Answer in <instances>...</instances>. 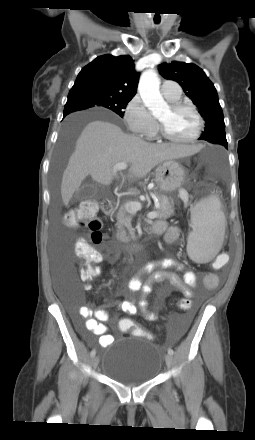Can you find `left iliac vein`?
Listing matches in <instances>:
<instances>
[{
	"instance_id": "1",
	"label": "left iliac vein",
	"mask_w": 255,
	"mask_h": 440,
	"mask_svg": "<svg viewBox=\"0 0 255 440\" xmlns=\"http://www.w3.org/2000/svg\"><path fill=\"white\" fill-rule=\"evenodd\" d=\"M165 362L168 368H171L173 366V356L170 354H167L165 356Z\"/></svg>"
}]
</instances>
